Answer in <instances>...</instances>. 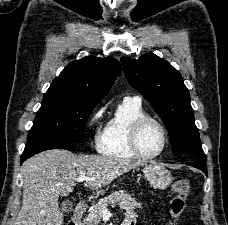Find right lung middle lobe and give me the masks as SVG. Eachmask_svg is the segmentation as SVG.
Wrapping results in <instances>:
<instances>
[{"mask_svg": "<svg viewBox=\"0 0 228 225\" xmlns=\"http://www.w3.org/2000/svg\"><path fill=\"white\" fill-rule=\"evenodd\" d=\"M97 104L47 91L28 133L27 143L45 138L81 142L87 119Z\"/></svg>", "mask_w": 228, "mask_h": 225, "instance_id": "1", "label": "right lung middle lobe"}]
</instances>
